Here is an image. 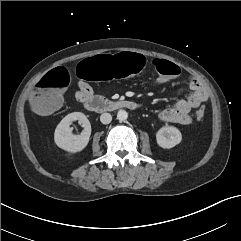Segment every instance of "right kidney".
<instances>
[{"instance_id":"1","label":"right kidney","mask_w":241,"mask_h":241,"mask_svg":"<svg viewBox=\"0 0 241 241\" xmlns=\"http://www.w3.org/2000/svg\"><path fill=\"white\" fill-rule=\"evenodd\" d=\"M76 120L84 128L80 135L71 133L70 125ZM90 135L91 125L87 117L81 112H73L65 116L57 125L54 141L59 148L70 153H77L87 146Z\"/></svg>"}]
</instances>
